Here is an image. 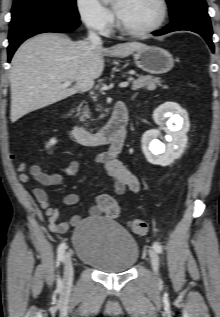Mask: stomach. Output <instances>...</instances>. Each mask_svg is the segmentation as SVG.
Instances as JSON below:
<instances>
[{"label":"stomach","mask_w":220,"mask_h":317,"mask_svg":"<svg viewBox=\"0 0 220 317\" xmlns=\"http://www.w3.org/2000/svg\"><path fill=\"white\" fill-rule=\"evenodd\" d=\"M135 64L145 72L162 74L170 71L174 65L172 55L157 46H145L134 54Z\"/></svg>","instance_id":"obj_1"}]
</instances>
